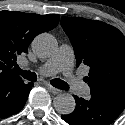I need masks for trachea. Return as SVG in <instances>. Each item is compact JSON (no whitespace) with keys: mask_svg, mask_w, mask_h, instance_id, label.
Listing matches in <instances>:
<instances>
[{"mask_svg":"<svg viewBox=\"0 0 125 125\" xmlns=\"http://www.w3.org/2000/svg\"><path fill=\"white\" fill-rule=\"evenodd\" d=\"M14 70L18 74H20L23 78H25L29 81L35 82L37 80V75L34 72L24 71V70L20 69V67L17 66V65L15 66ZM50 83H51L52 86H54L56 88H59V89H62V90H68L69 89L68 84L61 79H52L50 81Z\"/></svg>","mask_w":125,"mask_h":125,"instance_id":"obj_1","label":"trachea"}]
</instances>
